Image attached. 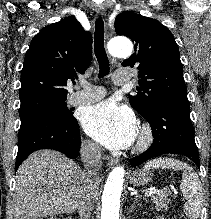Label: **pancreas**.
<instances>
[{"instance_id": "1", "label": "pancreas", "mask_w": 211, "mask_h": 219, "mask_svg": "<svg viewBox=\"0 0 211 219\" xmlns=\"http://www.w3.org/2000/svg\"><path fill=\"white\" fill-rule=\"evenodd\" d=\"M169 191H165L162 193L151 196V199L153 200L155 204L156 210H162V209H168V204H171L170 198H168Z\"/></svg>"}]
</instances>
